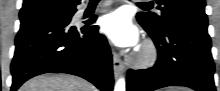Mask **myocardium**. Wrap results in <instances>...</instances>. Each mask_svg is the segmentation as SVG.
Instances as JSON below:
<instances>
[{
	"instance_id": "obj_1",
	"label": "myocardium",
	"mask_w": 220,
	"mask_h": 91,
	"mask_svg": "<svg viewBox=\"0 0 220 91\" xmlns=\"http://www.w3.org/2000/svg\"><path fill=\"white\" fill-rule=\"evenodd\" d=\"M158 57L156 45L151 40L145 41L132 57L133 64L138 68H149Z\"/></svg>"
}]
</instances>
